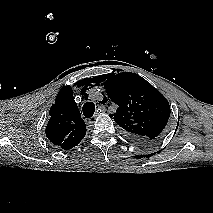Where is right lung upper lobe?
<instances>
[{"label": "right lung upper lobe", "instance_id": "right-lung-upper-lobe-1", "mask_svg": "<svg viewBox=\"0 0 213 213\" xmlns=\"http://www.w3.org/2000/svg\"><path fill=\"white\" fill-rule=\"evenodd\" d=\"M49 115L45 132L55 146L71 149L86 135V125L81 118L70 86H65L59 91Z\"/></svg>", "mask_w": 213, "mask_h": 213}]
</instances>
